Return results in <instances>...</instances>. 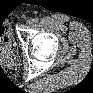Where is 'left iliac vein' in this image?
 Here are the masks:
<instances>
[{
  "instance_id": "4c4485c4",
  "label": "left iliac vein",
  "mask_w": 93,
  "mask_h": 93,
  "mask_svg": "<svg viewBox=\"0 0 93 93\" xmlns=\"http://www.w3.org/2000/svg\"><path fill=\"white\" fill-rule=\"evenodd\" d=\"M34 22H33V19H28L27 20V25H32Z\"/></svg>"
}]
</instances>
